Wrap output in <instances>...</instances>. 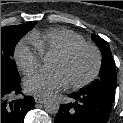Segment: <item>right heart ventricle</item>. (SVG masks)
Instances as JSON below:
<instances>
[{
    "mask_svg": "<svg viewBox=\"0 0 123 123\" xmlns=\"http://www.w3.org/2000/svg\"><path fill=\"white\" fill-rule=\"evenodd\" d=\"M29 38L42 54L57 53L73 45L86 43L81 35L66 28H51L43 32H34Z\"/></svg>",
    "mask_w": 123,
    "mask_h": 123,
    "instance_id": "1",
    "label": "right heart ventricle"
}]
</instances>
